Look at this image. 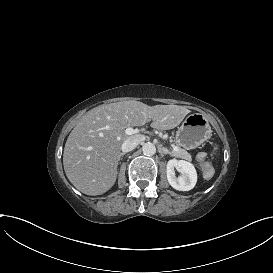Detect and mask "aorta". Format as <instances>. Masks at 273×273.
<instances>
[{
	"label": "aorta",
	"mask_w": 273,
	"mask_h": 273,
	"mask_svg": "<svg viewBox=\"0 0 273 273\" xmlns=\"http://www.w3.org/2000/svg\"><path fill=\"white\" fill-rule=\"evenodd\" d=\"M143 154L146 156H152L156 153V147L153 143L147 142L142 146Z\"/></svg>",
	"instance_id": "obj_1"
}]
</instances>
